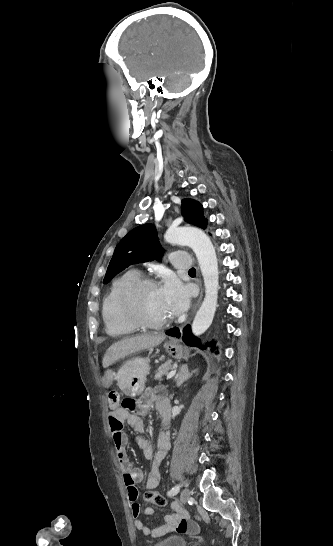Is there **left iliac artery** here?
I'll return each mask as SVG.
<instances>
[{
	"label": "left iliac artery",
	"mask_w": 333,
	"mask_h": 546,
	"mask_svg": "<svg viewBox=\"0 0 333 546\" xmlns=\"http://www.w3.org/2000/svg\"><path fill=\"white\" fill-rule=\"evenodd\" d=\"M179 489H180V485L178 484V485L174 486L171 490H169L167 492V495L168 496H174L179 492Z\"/></svg>",
	"instance_id": "1"
}]
</instances>
